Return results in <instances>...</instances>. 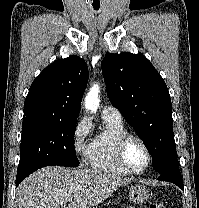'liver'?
I'll return each instance as SVG.
<instances>
[{
    "instance_id": "obj_1",
    "label": "liver",
    "mask_w": 199,
    "mask_h": 208,
    "mask_svg": "<svg viewBox=\"0 0 199 208\" xmlns=\"http://www.w3.org/2000/svg\"><path fill=\"white\" fill-rule=\"evenodd\" d=\"M130 182L98 169L45 167L22 181L17 203L19 208H94Z\"/></svg>"
}]
</instances>
